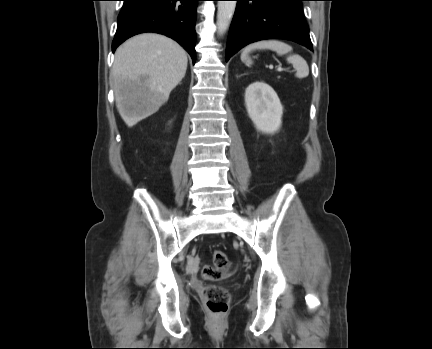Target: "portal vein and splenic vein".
<instances>
[{
  "mask_svg": "<svg viewBox=\"0 0 432 349\" xmlns=\"http://www.w3.org/2000/svg\"><path fill=\"white\" fill-rule=\"evenodd\" d=\"M270 68H273V66L271 65ZM283 70H284V69H283L282 67H277V71L281 72V71H283Z\"/></svg>",
  "mask_w": 432,
  "mask_h": 349,
  "instance_id": "obj_1",
  "label": "portal vein and splenic vein"
}]
</instances>
